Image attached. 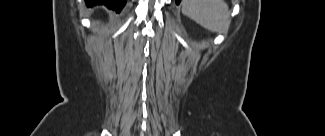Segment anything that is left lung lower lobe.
Returning a JSON list of instances; mask_svg holds the SVG:
<instances>
[{
    "instance_id": "1",
    "label": "left lung lower lobe",
    "mask_w": 325,
    "mask_h": 136,
    "mask_svg": "<svg viewBox=\"0 0 325 136\" xmlns=\"http://www.w3.org/2000/svg\"><path fill=\"white\" fill-rule=\"evenodd\" d=\"M181 0H176V3L179 4Z\"/></svg>"
}]
</instances>
